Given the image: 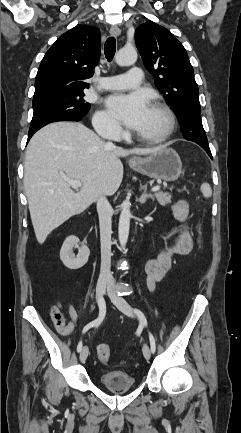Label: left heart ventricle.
Returning <instances> with one entry per match:
<instances>
[{
	"label": "left heart ventricle",
	"mask_w": 241,
	"mask_h": 433,
	"mask_svg": "<svg viewBox=\"0 0 241 433\" xmlns=\"http://www.w3.org/2000/svg\"><path fill=\"white\" fill-rule=\"evenodd\" d=\"M167 127L166 116L152 107H150L148 116L143 125L137 130L139 133L146 135H158Z\"/></svg>",
	"instance_id": "1"
}]
</instances>
